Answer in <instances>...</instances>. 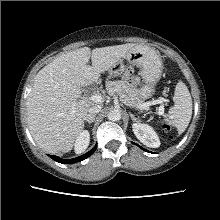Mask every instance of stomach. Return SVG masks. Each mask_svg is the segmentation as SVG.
<instances>
[{
	"label": "stomach",
	"mask_w": 220,
	"mask_h": 220,
	"mask_svg": "<svg viewBox=\"0 0 220 220\" xmlns=\"http://www.w3.org/2000/svg\"><path fill=\"white\" fill-rule=\"evenodd\" d=\"M124 58L129 62L130 66L140 68V75L144 85L139 91V98L141 100L148 99L154 94L155 85L162 74V61L158 51L148 46L137 45L131 48ZM108 73L109 78L126 77L127 69L123 61L119 60L108 70Z\"/></svg>",
	"instance_id": "stomach-1"
}]
</instances>
